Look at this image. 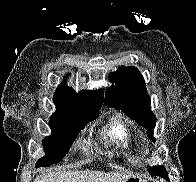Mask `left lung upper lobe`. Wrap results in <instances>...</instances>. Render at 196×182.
<instances>
[{
	"label": "left lung upper lobe",
	"mask_w": 196,
	"mask_h": 182,
	"mask_svg": "<svg viewBox=\"0 0 196 182\" xmlns=\"http://www.w3.org/2000/svg\"><path fill=\"white\" fill-rule=\"evenodd\" d=\"M109 80L116 86L106 89L105 104L123 111L130 118L148 131V136L153 138L156 117L150 109V96L147 92L145 81L136 67L121 66L116 72L111 73ZM151 175L160 176L166 180L168 173L161 166L149 170Z\"/></svg>",
	"instance_id": "obj_1"
}]
</instances>
